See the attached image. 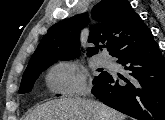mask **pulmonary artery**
Wrapping results in <instances>:
<instances>
[{"label": "pulmonary artery", "mask_w": 165, "mask_h": 120, "mask_svg": "<svg viewBox=\"0 0 165 120\" xmlns=\"http://www.w3.org/2000/svg\"><path fill=\"white\" fill-rule=\"evenodd\" d=\"M98 62H99V64L102 65V66H109V65L112 64L111 59H109L108 57H105V56H100V57L98 58Z\"/></svg>", "instance_id": "pulmonary-artery-1"}]
</instances>
